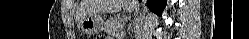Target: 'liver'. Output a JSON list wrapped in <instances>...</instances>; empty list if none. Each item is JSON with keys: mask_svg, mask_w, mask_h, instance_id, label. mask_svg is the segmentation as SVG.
I'll return each instance as SVG.
<instances>
[{"mask_svg": "<svg viewBox=\"0 0 249 39\" xmlns=\"http://www.w3.org/2000/svg\"><path fill=\"white\" fill-rule=\"evenodd\" d=\"M124 0H82L79 6L78 22L88 15L115 13L122 9Z\"/></svg>", "mask_w": 249, "mask_h": 39, "instance_id": "obj_1", "label": "liver"}]
</instances>
